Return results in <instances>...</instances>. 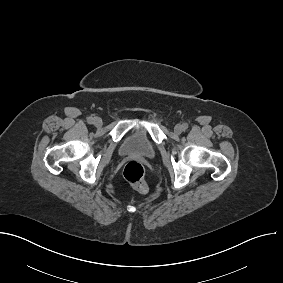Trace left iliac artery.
<instances>
[{"instance_id": "left-iliac-artery-1", "label": "left iliac artery", "mask_w": 283, "mask_h": 283, "mask_svg": "<svg viewBox=\"0 0 283 283\" xmlns=\"http://www.w3.org/2000/svg\"><path fill=\"white\" fill-rule=\"evenodd\" d=\"M182 127H183L184 130H186V129L188 128V124H187V123H184V124L182 125Z\"/></svg>"}]
</instances>
